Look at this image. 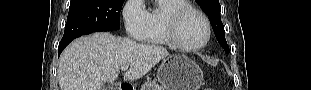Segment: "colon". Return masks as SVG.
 Wrapping results in <instances>:
<instances>
[{
    "label": "colon",
    "mask_w": 311,
    "mask_h": 90,
    "mask_svg": "<svg viewBox=\"0 0 311 90\" xmlns=\"http://www.w3.org/2000/svg\"><path fill=\"white\" fill-rule=\"evenodd\" d=\"M204 90H212L211 88H205Z\"/></svg>",
    "instance_id": "obj_1"
}]
</instances>
